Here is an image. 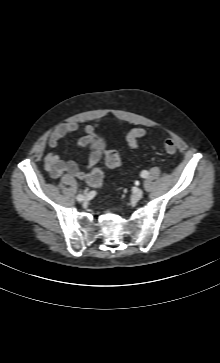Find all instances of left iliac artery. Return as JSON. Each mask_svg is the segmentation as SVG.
Segmentation results:
<instances>
[{"label": "left iliac artery", "mask_w": 220, "mask_h": 363, "mask_svg": "<svg viewBox=\"0 0 220 363\" xmlns=\"http://www.w3.org/2000/svg\"><path fill=\"white\" fill-rule=\"evenodd\" d=\"M148 174H149L148 171L144 170V171L141 172V177L142 178H147Z\"/></svg>", "instance_id": "44dca946"}]
</instances>
